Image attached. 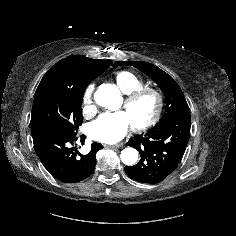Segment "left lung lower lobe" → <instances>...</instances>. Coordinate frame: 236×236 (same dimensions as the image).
I'll use <instances>...</instances> for the list:
<instances>
[{
  "instance_id": "0a47b994",
  "label": "left lung lower lobe",
  "mask_w": 236,
  "mask_h": 236,
  "mask_svg": "<svg viewBox=\"0 0 236 236\" xmlns=\"http://www.w3.org/2000/svg\"><path fill=\"white\" fill-rule=\"evenodd\" d=\"M190 115L177 116L145 135L130 139L128 145L140 152V161L126 166L135 181L155 184L163 181L179 165L190 137Z\"/></svg>"
}]
</instances>
